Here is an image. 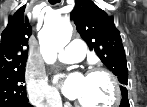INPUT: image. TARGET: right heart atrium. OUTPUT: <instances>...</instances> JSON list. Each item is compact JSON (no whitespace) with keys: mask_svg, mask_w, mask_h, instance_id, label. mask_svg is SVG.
I'll return each instance as SVG.
<instances>
[{"mask_svg":"<svg viewBox=\"0 0 147 107\" xmlns=\"http://www.w3.org/2000/svg\"><path fill=\"white\" fill-rule=\"evenodd\" d=\"M27 94L36 106L55 107L60 103V96L46 80L45 75L37 70H30L26 76Z\"/></svg>","mask_w":147,"mask_h":107,"instance_id":"right-heart-atrium-1","label":"right heart atrium"}]
</instances>
